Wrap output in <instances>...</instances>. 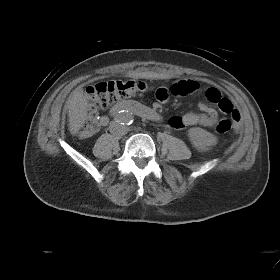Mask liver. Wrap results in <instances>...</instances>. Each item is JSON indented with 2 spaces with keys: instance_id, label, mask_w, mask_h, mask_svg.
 I'll use <instances>...</instances> for the list:
<instances>
[{
  "instance_id": "1",
  "label": "liver",
  "mask_w": 280,
  "mask_h": 280,
  "mask_svg": "<svg viewBox=\"0 0 280 280\" xmlns=\"http://www.w3.org/2000/svg\"><path fill=\"white\" fill-rule=\"evenodd\" d=\"M67 104L69 108V131L72 135H75L83 126L87 118L89 101L87 96L84 94L83 89L78 87L72 92Z\"/></svg>"
}]
</instances>
